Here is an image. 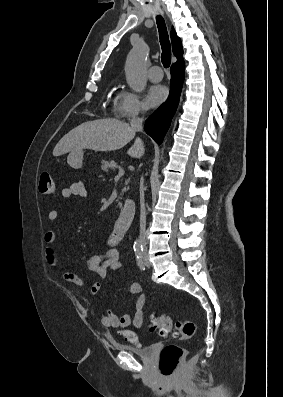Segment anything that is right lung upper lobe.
Listing matches in <instances>:
<instances>
[{"label": "right lung upper lobe", "mask_w": 283, "mask_h": 397, "mask_svg": "<svg viewBox=\"0 0 283 397\" xmlns=\"http://www.w3.org/2000/svg\"><path fill=\"white\" fill-rule=\"evenodd\" d=\"M171 41H172V49L174 55L177 57V61L183 60V49H182V43L180 38L177 36L176 32L174 29L171 31Z\"/></svg>", "instance_id": "1"}]
</instances>
